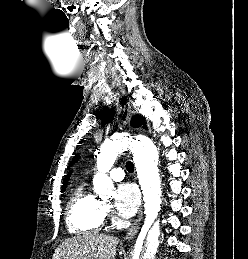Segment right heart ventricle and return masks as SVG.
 I'll return each instance as SVG.
<instances>
[{
    "mask_svg": "<svg viewBox=\"0 0 248 259\" xmlns=\"http://www.w3.org/2000/svg\"><path fill=\"white\" fill-rule=\"evenodd\" d=\"M103 203L86 188L79 185L70 197L67 208V226L73 233H96L104 223Z\"/></svg>",
    "mask_w": 248,
    "mask_h": 259,
    "instance_id": "1",
    "label": "right heart ventricle"
}]
</instances>
